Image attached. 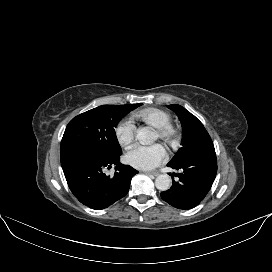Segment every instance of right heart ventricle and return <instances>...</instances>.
Returning <instances> with one entry per match:
<instances>
[{
    "instance_id": "e07e8e85",
    "label": "right heart ventricle",
    "mask_w": 272,
    "mask_h": 272,
    "mask_svg": "<svg viewBox=\"0 0 272 272\" xmlns=\"http://www.w3.org/2000/svg\"><path fill=\"white\" fill-rule=\"evenodd\" d=\"M134 118L154 128H159L171 123V116L168 112L158 108H145L133 114Z\"/></svg>"
}]
</instances>
